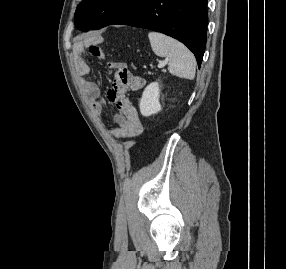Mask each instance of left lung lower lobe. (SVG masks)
I'll list each match as a JSON object with an SVG mask.
<instances>
[{"label": "left lung lower lobe", "mask_w": 286, "mask_h": 269, "mask_svg": "<svg viewBox=\"0 0 286 269\" xmlns=\"http://www.w3.org/2000/svg\"><path fill=\"white\" fill-rule=\"evenodd\" d=\"M207 19V0H143L113 24L150 29L176 38L194 53L200 67Z\"/></svg>", "instance_id": "obj_1"}]
</instances>
